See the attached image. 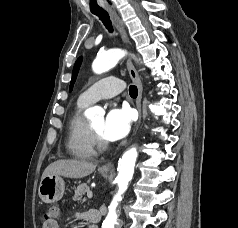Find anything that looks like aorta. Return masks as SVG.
I'll return each instance as SVG.
<instances>
[{"label":"aorta","instance_id":"762f6f07","mask_svg":"<svg viewBox=\"0 0 238 228\" xmlns=\"http://www.w3.org/2000/svg\"><path fill=\"white\" fill-rule=\"evenodd\" d=\"M125 55L126 52L122 49H110L97 56L92 64V69L94 73L102 74L113 68ZM102 113L103 110L99 107H93L87 111V114L90 117ZM137 156V148L133 146L125 151L119 160L118 175L116 177L118 192L114 195L111 201L108 214L102 223V228H115L117 225L118 217L116 208L118 206V202L122 199V194L127 190L129 182L133 177Z\"/></svg>","mask_w":238,"mask_h":228}]
</instances>
